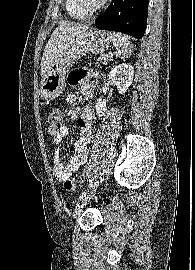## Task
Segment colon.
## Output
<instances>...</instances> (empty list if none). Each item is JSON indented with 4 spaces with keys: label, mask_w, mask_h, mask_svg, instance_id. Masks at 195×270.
I'll return each mask as SVG.
<instances>
[{
    "label": "colon",
    "mask_w": 195,
    "mask_h": 270,
    "mask_svg": "<svg viewBox=\"0 0 195 270\" xmlns=\"http://www.w3.org/2000/svg\"><path fill=\"white\" fill-rule=\"evenodd\" d=\"M49 125H58L62 120V111L58 108L52 109L47 117ZM77 187L74 179H66L64 181V188L67 191L74 190Z\"/></svg>",
    "instance_id": "1"
}]
</instances>
